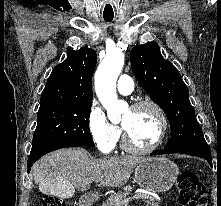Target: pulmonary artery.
I'll use <instances>...</instances> for the list:
<instances>
[{"mask_svg":"<svg viewBox=\"0 0 221 206\" xmlns=\"http://www.w3.org/2000/svg\"><path fill=\"white\" fill-rule=\"evenodd\" d=\"M117 90L122 95H128L133 91V80L130 76L122 74L117 83Z\"/></svg>","mask_w":221,"mask_h":206,"instance_id":"obj_1","label":"pulmonary artery"}]
</instances>
